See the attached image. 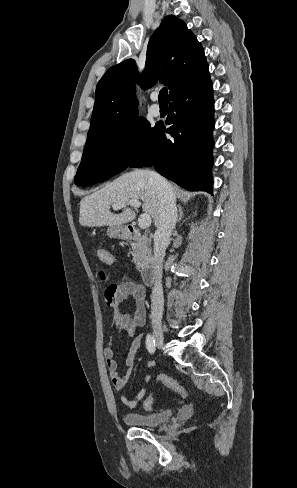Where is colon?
Here are the masks:
<instances>
[{
    "mask_svg": "<svg viewBox=\"0 0 297 488\" xmlns=\"http://www.w3.org/2000/svg\"><path fill=\"white\" fill-rule=\"evenodd\" d=\"M96 256L100 261L107 257V255L104 253V250H102V249H98L96 251ZM101 276H102V279H104L105 281L108 280L107 276L104 273H102ZM116 290H117L116 284L113 282H109L106 289H105V297H106V301L110 305L114 304V299L116 296ZM160 382H163L168 388L172 389L174 392L179 394L181 397L187 396V391H186L185 387L182 384L178 383L176 380L172 379V376L170 374H166L165 371L159 372V375L157 376V380L155 381V384L159 385ZM151 394L155 395L156 391L152 390ZM143 406L147 411L152 410L153 397L148 396L145 399Z\"/></svg>",
    "mask_w": 297,
    "mask_h": 488,
    "instance_id": "obj_1",
    "label": "colon"
}]
</instances>
